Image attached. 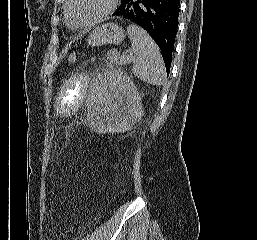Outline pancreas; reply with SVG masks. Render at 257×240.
Instances as JSON below:
<instances>
[{"instance_id":"obj_1","label":"pancreas","mask_w":257,"mask_h":240,"mask_svg":"<svg viewBox=\"0 0 257 240\" xmlns=\"http://www.w3.org/2000/svg\"><path fill=\"white\" fill-rule=\"evenodd\" d=\"M120 53L116 50H110L106 54V58L110 62L111 65H120L122 64L121 61H119Z\"/></svg>"}]
</instances>
